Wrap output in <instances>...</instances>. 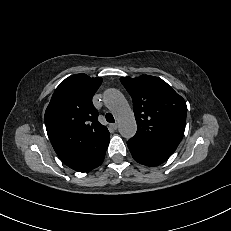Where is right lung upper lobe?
<instances>
[{"label": "right lung upper lobe", "instance_id": "right-lung-upper-lobe-1", "mask_svg": "<svg viewBox=\"0 0 231 231\" xmlns=\"http://www.w3.org/2000/svg\"><path fill=\"white\" fill-rule=\"evenodd\" d=\"M102 78L76 74L56 88L45 112L46 130L62 162L73 170H88L109 143L110 133L98 121L92 97Z\"/></svg>", "mask_w": 231, "mask_h": 231}]
</instances>
